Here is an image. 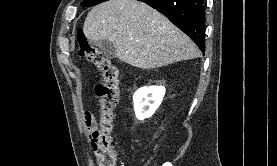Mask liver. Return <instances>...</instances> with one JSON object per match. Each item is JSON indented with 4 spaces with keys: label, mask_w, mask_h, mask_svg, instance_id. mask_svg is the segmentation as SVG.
<instances>
[{
    "label": "liver",
    "mask_w": 277,
    "mask_h": 166,
    "mask_svg": "<svg viewBox=\"0 0 277 166\" xmlns=\"http://www.w3.org/2000/svg\"><path fill=\"white\" fill-rule=\"evenodd\" d=\"M83 32L88 40L111 41L121 61L141 69L200 57L187 35L137 0H109L94 6L85 19Z\"/></svg>",
    "instance_id": "obj_1"
}]
</instances>
